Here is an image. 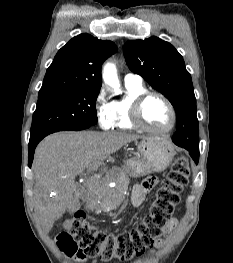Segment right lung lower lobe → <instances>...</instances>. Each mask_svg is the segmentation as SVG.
I'll return each mask as SVG.
<instances>
[{
	"instance_id": "right-lung-lower-lobe-1",
	"label": "right lung lower lobe",
	"mask_w": 233,
	"mask_h": 263,
	"mask_svg": "<svg viewBox=\"0 0 233 263\" xmlns=\"http://www.w3.org/2000/svg\"><path fill=\"white\" fill-rule=\"evenodd\" d=\"M90 126H78V127H70V128H65V129H61V130H58V131H70V130H73V131H79V130H83V129H86ZM57 132V131H56ZM53 133V132H52ZM50 134V133H49ZM49 134H46L44 136H41L39 137L38 139L34 140V141H29V167H31L32 165V161H33V157H34V151H35V148L37 146V144L47 135Z\"/></svg>"
}]
</instances>
